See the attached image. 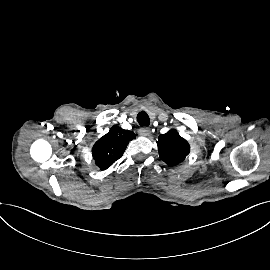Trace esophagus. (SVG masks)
<instances>
[{"mask_svg": "<svg viewBox=\"0 0 270 270\" xmlns=\"http://www.w3.org/2000/svg\"><path fill=\"white\" fill-rule=\"evenodd\" d=\"M150 133H151V131H150V129L148 127H142V128L139 129V134L141 136L147 137V136L150 135Z\"/></svg>", "mask_w": 270, "mask_h": 270, "instance_id": "obj_1", "label": "esophagus"}]
</instances>
